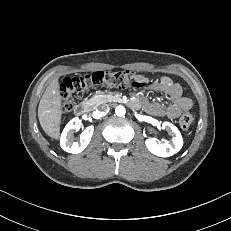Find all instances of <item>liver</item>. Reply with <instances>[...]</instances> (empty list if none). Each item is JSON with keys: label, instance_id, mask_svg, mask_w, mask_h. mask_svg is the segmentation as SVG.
<instances>
[{"label": "liver", "instance_id": "6515ba94", "mask_svg": "<svg viewBox=\"0 0 231 231\" xmlns=\"http://www.w3.org/2000/svg\"><path fill=\"white\" fill-rule=\"evenodd\" d=\"M62 113V96L57 77L46 88L38 106L40 125L52 139H59Z\"/></svg>", "mask_w": 231, "mask_h": 231}]
</instances>
